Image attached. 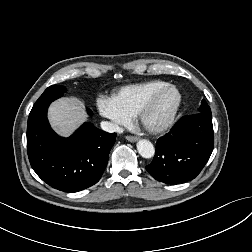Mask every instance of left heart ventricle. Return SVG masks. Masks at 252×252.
Returning <instances> with one entry per match:
<instances>
[{
	"label": "left heart ventricle",
	"mask_w": 252,
	"mask_h": 252,
	"mask_svg": "<svg viewBox=\"0 0 252 252\" xmlns=\"http://www.w3.org/2000/svg\"><path fill=\"white\" fill-rule=\"evenodd\" d=\"M176 100L177 94L175 91L169 90L164 92L147 114V122L151 125H159L163 123L171 114Z\"/></svg>",
	"instance_id": "b2bd125f"
}]
</instances>
